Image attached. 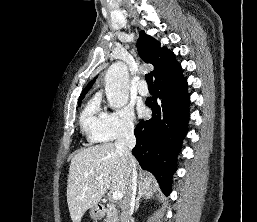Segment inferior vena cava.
I'll use <instances>...</instances> for the list:
<instances>
[{"instance_id": "inferior-vena-cava-1", "label": "inferior vena cava", "mask_w": 257, "mask_h": 222, "mask_svg": "<svg viewBox=\"0 0 257 222\" xmlns=\"http://www.w3.org/2000/svg\"><path fill=\"white\" fill-rule=\"evenodd\" d=\"M136 144V138L134 135V125L132 123L125 124L116 141L115 146L119 152H121L128 164L129 191L122 203L121 222H130V216L132 215L136 203V191H137V171L136 161L132 156L131 150Z\"/></svg>"}]
</instances>
